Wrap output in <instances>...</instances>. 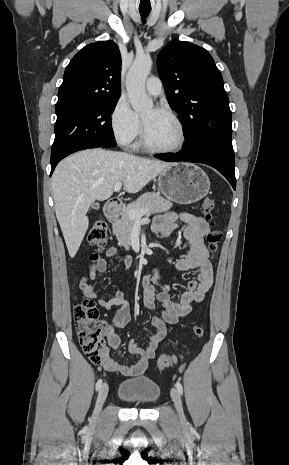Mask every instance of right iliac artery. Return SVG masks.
<instances>
[{
	"instance_id": "1",
	"label": "right iliac artery",
	"mask_w": 289,
	"mask_h": 465,
	"mask_svg": "<svg viewBox=\"0 0 289 465\" xmlns=\"http://www.w3.org/2000/svg\"><path fill=\"white\" fill-rule=\"evenodd\" d=\"M101 386H102V379H99L96 383V390H99Z\"/></svg>"
}]
</instances>
